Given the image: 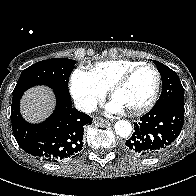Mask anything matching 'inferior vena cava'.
Wrapping results in <instances>:
<instances>
[{
	"label": "inferior vena cava",
	"mask_w": 196,
	"mask_h": 196,
	"mask_svg": "<svg viewBox=\"0 0 196 196\" xmlns=\"http://www.w3.org/2000/svg\"><path fill=\"white\" fill-rule=\"evenodd\" d=\"M75 107L85 113H91L96 110V104L88 100L74 101Z\"/></svg>",
	"instance_id": "1"
}]
</instances>
